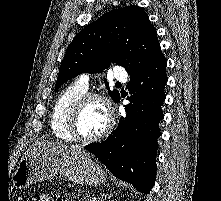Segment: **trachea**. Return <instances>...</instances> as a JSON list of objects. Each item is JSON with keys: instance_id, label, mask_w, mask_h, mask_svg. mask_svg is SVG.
<instances>
[{"instance_id": "1", "label": "trachea", "mask_w": 221, "mask_h": 201, "mask_svg": "<svg viewBox=\"0 0 221 201\" xmlns=\"http://www.w3.org/2000/svg\"><path fill=\"white\" fill-rule=\"evenodd\" d=\"M116 85H121V83L117 82Z\"/></svg>"}]
</instances>
